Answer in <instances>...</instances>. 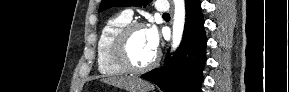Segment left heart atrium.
<instances>
[{"instance_id":"obj_1","label":"left heart atrium","mask_w":289,"mask_h":92,"mask_svg":"<svg viewBox=\"0 0 289 92\" xmlns=\"http://www.w3.org/2000/svg\"><path fill=\"white\" fill-rule=\"evenodd\" d=\"M146 33L151 47L153 50L157 51L159 46V35L157 29L154 26H150L146 29Z\"/></svg>"}]
</instances>
